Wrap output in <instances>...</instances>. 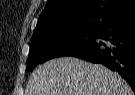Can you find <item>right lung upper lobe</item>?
I'll return each instance as SVG.
<instances>
[{
  "mask_svg": "<svg viewBox=\"0 0 135 95\" xmlns=\"http://www.w3.org/2000/svg\"><path fill=\"white\" fill-rule=\"evenodd\" d=\"M135 15V0H47L33 37L96 31L111 19Z\"/></svg>",
  "mask_w": 135,
  "mask_h": 95,
  "instance_id": "1",
  "label": "right lung upper lobe"
}]
</instances>
